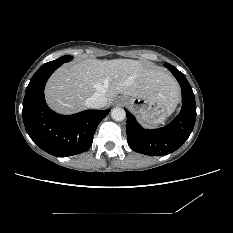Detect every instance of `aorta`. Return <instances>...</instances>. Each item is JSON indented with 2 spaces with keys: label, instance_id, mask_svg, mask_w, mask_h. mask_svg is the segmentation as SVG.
I'll list each match as a JSON object with an SVG mask.
<instances>
[{
  "label": "aorta",
  "instance_id": "1",
  "mask_svg": "<svg viewBox=\"0 0 233 233\" xmlns=\"http://www.w3.org/2000/svg\"><path fill=\"white\" fill-rule=\"evenodd\" d=\"M111 116L115 121H122L126 117V112L121 107H115L111 111Z\"/></svg>",
  "mask_w": 233,
  "mask_h": 233
}]
</instances>
